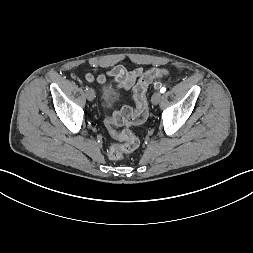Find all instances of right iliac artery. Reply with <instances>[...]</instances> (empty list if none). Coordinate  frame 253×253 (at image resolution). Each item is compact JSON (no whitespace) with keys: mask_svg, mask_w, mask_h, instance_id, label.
I'll list each match as a JSON object with an SVG mask.
<instances>
[{"mask_svg":"<svg viewBox=\"0 0 253 253\" xmlns=\"http://www.w3.org/2000/svg\"><path fill=\"white\" fill-rule=\"evenodd\" d=\"M84 88H85V90H86V91L89 89V87H88V86H85Z\"/></svg>","mask_w":253,"mask_h":253,"instance_id":"right-iliac-artery-1","label":"right iliac artery"}]
</instances>
